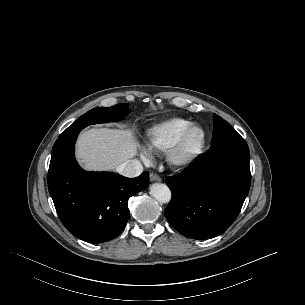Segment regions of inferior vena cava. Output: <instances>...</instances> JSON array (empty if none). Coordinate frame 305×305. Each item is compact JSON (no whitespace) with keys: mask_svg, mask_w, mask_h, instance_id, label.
Masks as SVG:
<instances>
[{"mask_svg":"<svg viewBox=\"0 0 305 305\" xmlns=\"http://www.w3.org/2000/svg\"><path fill=\"white\" fill-rule=\"evenodd\" d=\"M116 171L125 177H137L143 172V166L138 160H127L117 166Z\"/></svg>","mask_w":305,"mask_h":305,"instance_id":"inferior-vena-cava-1","label":"inferior vena cava"}]
</instances>
